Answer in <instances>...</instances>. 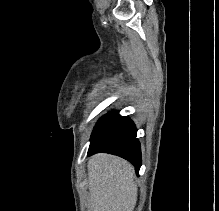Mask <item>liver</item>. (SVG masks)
<instances>
[{"label": "liver", "instance_id": "liver-1", "mask_svg": "<svg viewBox=\"0 0 219 211\" xmlns=\"http://www.w3.org/2000/svg\"><path fill=\"white\" fill-rule=\"evenodd\" d=\"M87 171L91 203L88 211H133L138 187L129 161L110 153H95Z\"/></svg>", "mask_w": 219, "mask_h": 211}]
</instances>
